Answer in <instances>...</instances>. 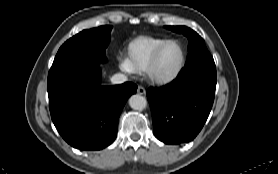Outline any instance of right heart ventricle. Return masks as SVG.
Returning a JSON list of instances; mask_svg holds the SVG:
<instances>
[{"label": "right heart ventricle", "instance_id": "1", "mask_svg": "<svg viewBox=\"0 0 278 174\" xmlns=\"http://www.w3.org/2000/svg\"><path fill=\"white\" fill-rule=\"evenodd\" d=\"M164 41L166 39L150 36H142L133 40L128 46V59L134 71H146L153 52Z\"/></svg>", "mask_w": 278, "mask_h": 174}]
</instances>
